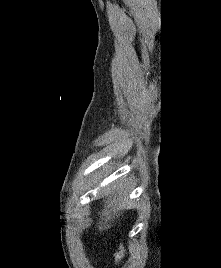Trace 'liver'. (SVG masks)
Returning a JSON list of instances; mask_svg holds the SVG:
<instances>
[{"mask_svg": "<svg viewBox=\"0 0 221 268\" xmlns=\"http://www.w3.org/2000/svg\"><path fill=\"white\" fill-rule=\"evenodd\" d=\"M130 186L126 181H116L108 187L105 200V211L101 214V221L98 223L100 231L111 227V221L119 217L118 208L125 205L126 197L130 193Z\"/></svg>", "mask_w": 221, "mask_h": 268, "instance_id": "obj_1", "label": "liver"}]
</instances>
